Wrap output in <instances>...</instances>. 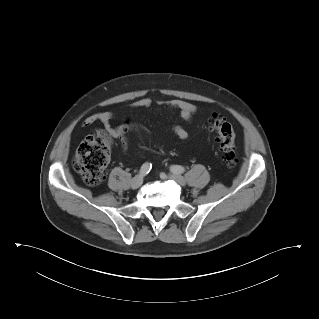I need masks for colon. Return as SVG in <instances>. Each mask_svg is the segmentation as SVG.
<instances>
[{
	"label": "colon",
	"instance_id": "obj_1",
	"mask_svg": "<svg viewBox=\"0 0 319 319\" xmlns=\"http://www.w3.org/2000/svg\"><path fill=\"white\" fill-rule=\"evenodd\" d=\"M208 129L215 135L222 158L228 167L236 165L235 132L229 121L221 115H213ZM110 156L109 141L104 136L90 135L79 145L73 165L85 182L91 186L99 185L105 179Z\"/></svg>",
	"mask_w": 319,
	"mask_h": 319
}]
</instances>
